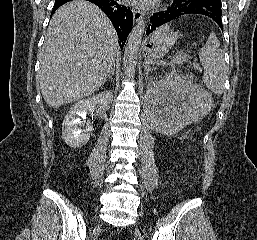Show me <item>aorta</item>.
<instances>
[{"mask_svg": "<svg viewBox=\"0 0 257 240\" xmlns=\"http://www.w3.org/2000/svg\"><path fill=\"white\" fill-rule=\"evenodd\" d=\"M146 21L142 18L131 31L128 43L125 47L123 65L124 72L127 78H133L136 71V62L139 47L145 31Z\"/></svg>", "mask_w": 257, "mask_h": 240, "instance_id": "1", "label": "aorta"}]
</instances>
